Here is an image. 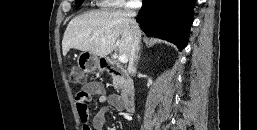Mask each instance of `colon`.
<instances>
[{
    "mask_svg": "<svg viewBox=\"0 0 257 130\" xmlns=\"http://www.w3.org/2000/svg\"><path fill=\"white\" fill-rule=\"evenodd\" d=\"M70 79L75 84H83L85 82L84 72L81 69L74 67L71 70Z\"/></svg>",
    "mask_w": 257,
    "mask_h": 130,
    "instance_id": "colon-1",
    "label": "colon"
}]
</instances>
